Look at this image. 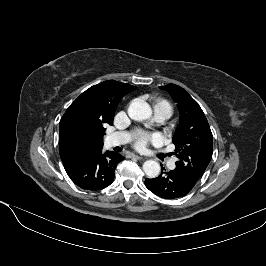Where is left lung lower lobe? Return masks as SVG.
<instances>
[{
    "label": "left lung lower lobe",
    "mask_w": 266,
    "mask_h": 266,
    "mask_svg": "<svg viewBox=\"0 0 266 266\" xmlns=\"http://www.w3.org/2000/svg\"><path fill=\"white\" fill-rule=\"evenodd\" d=\"M164 170V168H162ZM145 186L154 194L165 198L175 199L187 195L194 187L175 170L162 172L154 179H145Z\"/></svg>",
    "instance_id": "1"
}]
</instances>
